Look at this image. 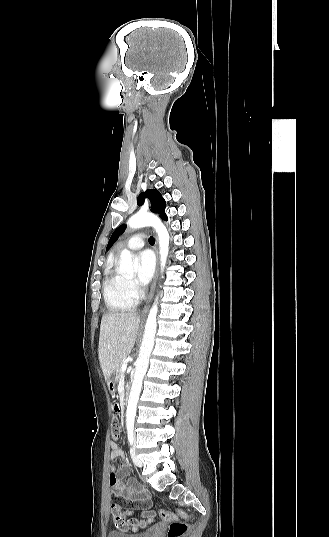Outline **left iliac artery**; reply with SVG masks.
<instances>
[{
	"instance_id": "1",
	"label": "left iliac artery",
	"mask_w": 329,
	"mask_h": 537,
	"mask_svg": "<svg viewBox=\"0 0 329 537\" xmlns=\"http://www.w3.org/2000/svg\"><path fill=\"white\" fill-rule=\"evenodd\" d=\"M128 440L129 443L132 444L134 440V431L133 428H128Z\"/></svg>"
}]
</instances>
